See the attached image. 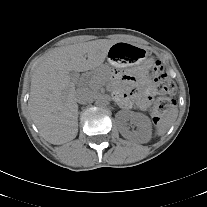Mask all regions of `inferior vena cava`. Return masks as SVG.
<instances>
[{"instance_id":"obj_1","label":"inferior vena cava","mask_w":207,"mask_h":207,"mask_svg":"<svg viewBox=\"0 0 207 207\" xmlns=\"http://www.w3.org/2000/svg\"><path fill=\"white\" fill-rule=\"evenodd\" d=\"M94 93L88 88H79L76 93V101L79 104H86L93 100Z\"/></svg>"}]
</instances>
